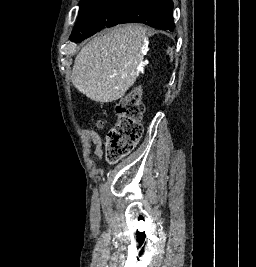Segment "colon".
Returning <instances> with one entry per match:
<instances>
[{
	"label": "colon",
	"instance_id": "colon-1",
	"mask_svg": "<svg viewBox=\"0 0 256 267\" xmlns=\"http://www.w3.org/2000/svg\"><path fill=\"white\" fill-rule=\"evenodd\" d=\"M117 123L115 128L108 134L106 148L108 158L115 162L129 153L142 134L140 119L144 112L141 102V89L135 88L127 93L115 105ZM95 128L101 130L104 121L95 120Z\"/></svg>",
	"mask_w": 256,
	"mask_h": 267
}]
</instances>
